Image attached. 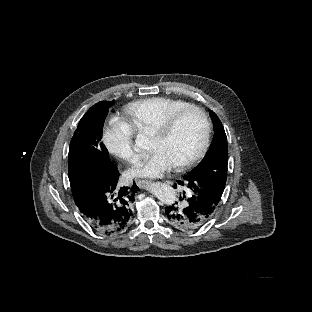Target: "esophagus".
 Instances as JSON below:
<instances>
[{"label":"esophagus","mask_w":312,"mask_h":312,"mask_svg":"<svg viewBox=\"0 0 312 312\" xmlns=\"http://www.w3.org/2000/svg\"><path fill=\"white\" fill-rule=\"evenodd\" d=\"M136 183L140 188H144L146 185L149 184V180L141 179V180H137Z\"/></svg>","instance_id":"34e87169"}]
</instances>
